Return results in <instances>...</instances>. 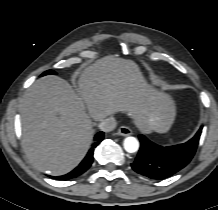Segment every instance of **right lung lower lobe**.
I'll return each mask as SVG.
<instances>
[{"label": "right lung lower lobe", "instance_id": "1", "mask_svg": "<svg viewBox=\"0 0 218 210\" xmlns=\"http://www.w3.org/2000/svg\"><path fill=\"white\" fill-rule=\"evenodd\" d=\"M103 137H104L103 132H99L95 135L92 148L89 150L86 157L83 159V161L79 164L78 167H76L73 171H71L70 173H68L66 175L53 177V178L62 179V180H69L72 178H76V177L82 175L84 172H86L93 162L94 148L103 140Z\"/></svg>", "mask_w": 218, "mask_h": 210}]
</instances>
